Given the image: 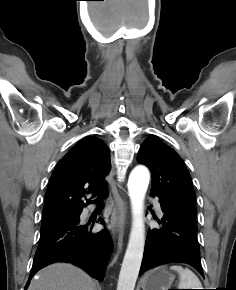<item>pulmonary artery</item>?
<instances>
[{
  "label": "pulmonary artery",
  "instance_id": "pulmonary-artery-1",
  "mask_svg": "<svg viewBox=\"0 0 236 290\" xmlns=\"http://www.w3.org/2000/svg\"><path fill=\"white\" fill-rule=\"evenodd\" d=\"M155 207H156L157 212L161 215L162 214V209H161L160 203L156 202L155 203Z\"/></svg>",
  "mask_w": 236,
  "mask_h": 290
}]
</instances>
